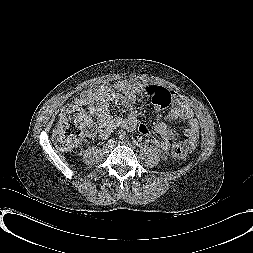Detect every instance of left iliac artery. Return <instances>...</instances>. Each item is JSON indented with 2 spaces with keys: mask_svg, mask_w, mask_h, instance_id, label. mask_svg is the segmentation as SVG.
<instances>
[{
  "mask_svg": "<svg viewBox=\"0 0 253 253\" xmlns=\"http://www.w3.org/2000/svg\"><path fill=\"white\" fill-rule=\"evenodd\" d=\"M133 144H134L135 146H137V145H138V142H137L136 140H134V141H133Z\"/></svg>",
  "mask_w": 253,
  "mask_h": 253,
  "instance_id": "44dca946",
  "label": "left iliac artery"
}]
</instances>
